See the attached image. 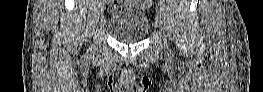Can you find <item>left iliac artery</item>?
Segmentation results:
<instances>
[{"instance_id": "left-iliac-artery-1", "label": "left iliac artery", "mask_w": 263, "mask_h": 92, "mask_svg": "<svg viewBox=\"0 0 263 92\" xmlns=\"http://www.w3.org/2000/svg\"><path fill=\"white\" fill-rule=\"evenodd\" d=\"M158 5H159V10H160L161 16H166V11L164 8V6L166 5V2L165 1H159Z\"/></svg>"}]
</instances>
